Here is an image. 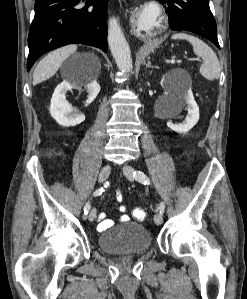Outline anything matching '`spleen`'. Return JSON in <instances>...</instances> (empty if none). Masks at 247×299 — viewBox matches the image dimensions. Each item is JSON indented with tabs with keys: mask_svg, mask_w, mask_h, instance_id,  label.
<instances>
[{
	"mask_svg": "<svg viewBox=\"0 0 247 299\" xmlns=\"http://www.w3.org/2000/svg\"><path fill=\"white\" fill-rule=\"evenodd\" d=\"M172 39H183L191 43L194 53L203 60L199 72L204 78L212 81L220 77L221 67L217 55L205 42L186 33L174 34Z\"/></svg>",
	"mask_w": 247,
	"mask_h": 299,
	"instance_id": "3e777b00",
	"label": "spleen"
}]
</instances>
